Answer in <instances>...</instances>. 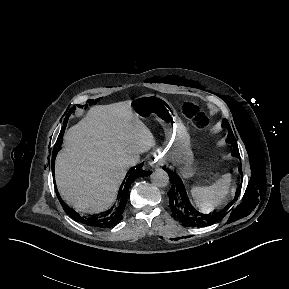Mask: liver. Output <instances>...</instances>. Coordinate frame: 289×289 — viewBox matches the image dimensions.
<instances>
[{
  "label": "liver",
  "mask_w": 289,
  "mask_h": 289,
  "mask_svg": "<svg viewBox=\"0 0 289 289\" xmlns=\"http://www.w3.org/2000/svg\"><path fill=\"white\" fill-rule=\"evenodd\" d=\"M131 103L94 106L65 133L55 180L62 199L73 208L89 213L108 209L131 167L129 160L154 146L151 131Z\"/></svg>",
  "instance_id": "1"
}]
</instances>
